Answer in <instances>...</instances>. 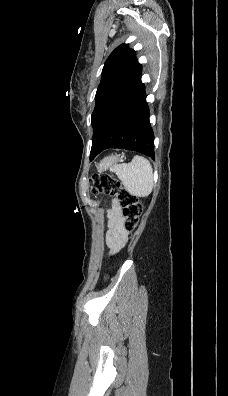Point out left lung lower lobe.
<instances>
[{"label":"left lung lower lobe","mask_w":228,"mask_h":396,"mask_svg":"<svg viewBox=\"0 0 228 396\" xmlns=\"http://www.w3.org/2000/svg\"><path fill=\"white\" fill-rule=\"evenodd\" d=\"M141 77L106 110L94 139L100 152L108 148L133 150L155 158L154 134L149 121Z\"/></svg>","instance_id":"obj_1"}]
</instances>
